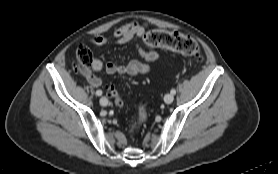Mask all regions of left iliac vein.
Wrapping results in <instances>:
<instances>
[{
  "label": "left iliac vein",
  "mask_w": 278,
  "mask_h": 174,
  "mask_svg": "<svg viewBox=\"0 0 278 174\" xmlns=\"http://www.w3.org/2000/svg\"><path fill=\"white\" fill-rule=\"evenodd\" d=\"M173 100H174V96L172 94L168 93L164 96V102L166 104H171L173 102Z\"/></svg>",
  "instance_id": "obj_1"
}]
</instances>
